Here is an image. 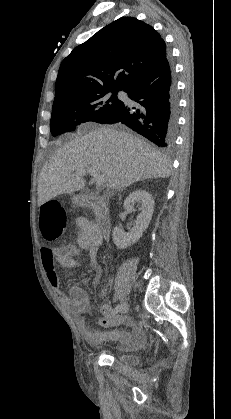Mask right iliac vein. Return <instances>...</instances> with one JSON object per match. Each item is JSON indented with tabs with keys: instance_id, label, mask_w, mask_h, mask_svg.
I'll return each mask as SVG.
<instances>
[{
	"instance_id": "obj_1",
	"label": "right iliac vein",
	"mask_w": 231,
	"mask_h": 419,
	"mask_svg": "<svg viewBox=\"0 0 231 419\" xmlns=\"http://www.w3.org/2000/svg\"><path fill=\"white\" fill-rule=\"evenodd\" d=\"M128 310H129V304H128V302H124V303L122 304L121 309H120V313H121L122 315H124V314H126V313L128 312Z\"/></svg>"
}]
</instances>
